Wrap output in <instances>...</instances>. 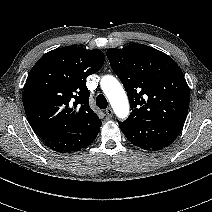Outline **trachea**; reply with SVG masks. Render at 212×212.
<instances>
[{
	"instance_id": "3493384b",
	"label": "trachea",
	"mask_w": 212,
	"mask_h": 212,
	"mask_svg": "<svg viewBox=\"0 0 212 212\" xmlns=\"http://www.w3.org/2000/svg\"><path fill=\"white\" fill-rule=\"evenodd\" d=\"M96 105L100 108V109H106L108 102L107 99L105 98V96L103 94H99L96 98Z\"/></svg>"
}]
</instances>
